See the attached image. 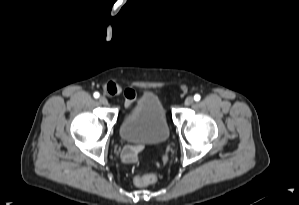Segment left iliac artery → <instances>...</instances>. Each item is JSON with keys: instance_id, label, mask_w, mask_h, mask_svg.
<instances>
[{"instance_id": "obj_1", "label": "left iliac artery", "mask_w": 299, "mask_h": 205, "mask_svg": "<svg viewBox=\"0 0 299 205\" xmlns=\"http://www.w3.org/2000/svg\"><path fill=\"white\" fill-rule=\"evenodd\" d=\"M200 98H201V97H200V95H199V94H195V95H194V100H195V101H199V100H200Z\"/></svg>"}]
</instances>
